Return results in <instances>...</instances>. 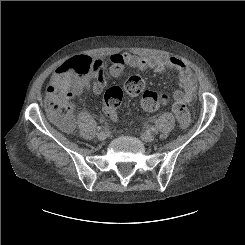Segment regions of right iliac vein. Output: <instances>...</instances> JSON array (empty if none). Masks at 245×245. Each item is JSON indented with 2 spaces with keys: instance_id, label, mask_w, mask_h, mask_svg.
Masks as SVG:
<instances>
[{
  "instance_id": "1",
  "label": "right iliac vein",
  "mask_w": 245,
  "mask_h": 245,
  "mask_svg": "<svg viewBox=\"0 0 245 245\" xmlns=\"http://www.w3.org/2000/svg\"><path fill=\"white\" fill-rule=\"evenodd\" d=\"M97 138H98L100 141H103V140L106 139V134H105L104 132H100V133H98Z\"/></svg>"
}]
</instances>
